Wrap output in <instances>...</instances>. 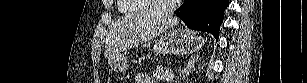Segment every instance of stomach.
Wrapping results in <instances>:
<instances>
[{
	"mask_svg": "<svg viewBox=\"0 0 307 83\" xmlns=\"http://www.w3.org/2000/svg\"><path fill=\"white\" fill-rule=\"evenodd\" d=\"M204 42L202 36H194L189 30L178 29L161 36L154 50L156 54L186 55L199 50ZM108 63L114 72H124L129 67L127 58L122 54L108 59Z\"/></svg>",
	"mask_w": 307,
	"mask_h": 83,
	"instance_id": "1",
	"label": "stomach"
}]
</instances>
